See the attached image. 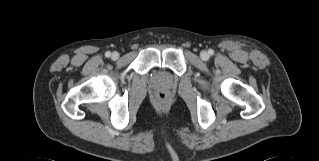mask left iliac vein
I'll return each instance as SVG.
<instances>
[{
  "label": "left iliac vein",
  "mask_w": 319,
  "mask_h": 161,
  "mask_svg": "<svg viewBox=\"0 0 319 161\" xmlns=\"http://www.w3.org/2000/svg\"><path fill=\"white\" fill-rule=\"evenodd\" d=\"M201 57L202 59L206 60L208 58V53L205 51L201 52Z\"/></svg>",
  "instance_id": "1"
}]
</instances>
